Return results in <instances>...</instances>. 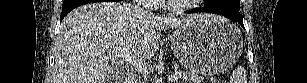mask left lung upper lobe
I'll list each match as a JSON object with an SVG mask.
<instances>
[{"instance_id": "left-lung-upper-lobe-1", "label": "left lung upper lobe", "mask_w": 307, "mask_h": 83, "mask_svg": "<svg viewBox=\"0 0 307 83\" xmlns=\"http://www.w3.org/2000/svg\"><path fill=\"white\" fill-rule=\"evenodd\" d=\"M213 8L231 7L234 11L239 12L240 0H205Z\"/></svg>"}]
</instances>
